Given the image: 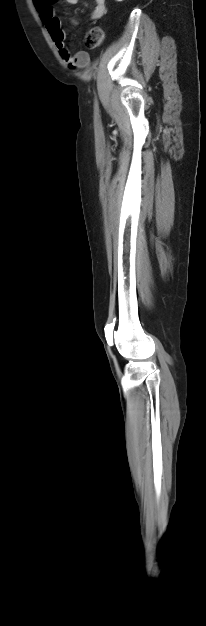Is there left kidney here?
<instances>
[{"mask_svg":"<svg viewBox=\"0 0 206 626\" xmlns=\"http://www.w3.org/2000/svg\"><path fill=\"white\" fill-rule=\"evenodd\" d=\"M116 1H117V2H121V1H123V0H116Z\"/></svg>","mask_w":206,"mask_h":626,"instance_id":"5707ae66","label":"left kidney"}]
</instances>
